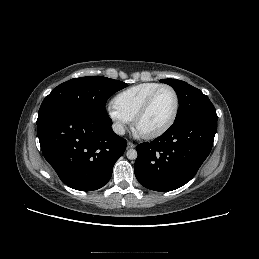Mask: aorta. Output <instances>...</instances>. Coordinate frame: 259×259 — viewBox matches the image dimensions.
Here are the masks:
<instances>
[{"label": "aorta", "instance_id": "aorta-1", "mask_svg": "<svg viewBox=\"0 0 259 259\" xmlns=\"http://www.w3.org/2000/svg\"><path fill=\"white\" fill-rule=\"evenodd\" d=\"M126 156L130 160H134L137 158V151L135 149H130L127 151Z\"/></svg>", "mask_w": 259, "mask_h": 259}]
</instances>
